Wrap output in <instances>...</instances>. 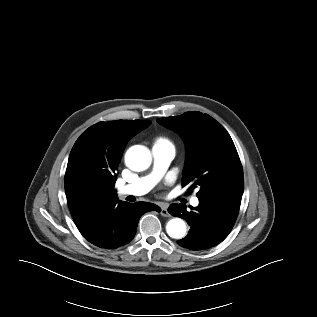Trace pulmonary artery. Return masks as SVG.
Returning a JSON list of instances; mask_svg holds the SVG:
<instances>
[{"instance_id":"pulmonary-artery-1","label":"pulmonary artery","mask_w":317,"mask_h":317,"mask_svg":"<svg viewBox=\"0 0 317 317\" xmlns=\"http://www.w3.org/2000/svg\"><path fill=\"white\" fill-rule=\"evenodd\" d=\"M153 169L152 171L137 179L135 182L125 184L118 189V193L122 196L133 195L140 196L149 192L161 179L169 164L175 156V149L169 143L155 142L152 146ZM191 205L196 207L199 204L197 197H193L190 201Z\"/></svg>"}]
</instances>
